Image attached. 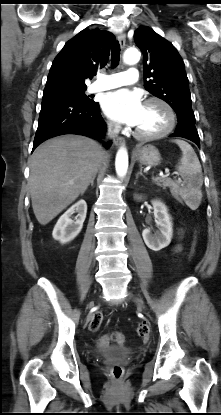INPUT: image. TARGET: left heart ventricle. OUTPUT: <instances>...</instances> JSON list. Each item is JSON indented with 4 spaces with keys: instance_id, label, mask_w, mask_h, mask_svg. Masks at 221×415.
Wrapping results in <instances>:
<instances>
[{
    "instance_id": "left-heart-ventricle-1",
    "label": "left heart ventricle",
    "mask_w": 221,
    "mask_h": 415,
    "mask_svg": "<svg viewBox=\"0 0 221 415\" xmlns=\"http://www.w3.org/2000/svg\"><path fill=\"white\" fill-rule=\"evenodd\" d=\"M168 124V114L158 103L144 104L141 118L136 129L142 133L152 134L162 131Z\"/></svg>"
}]
</instances>
